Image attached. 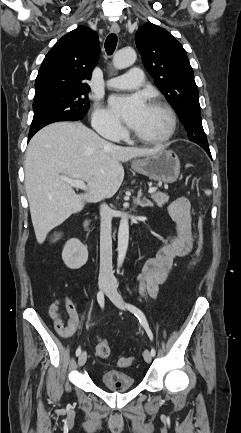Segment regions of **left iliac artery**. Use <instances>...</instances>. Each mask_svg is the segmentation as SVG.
<instances>
[{
	"instance_id": "obj_1",
	"label": "left iliac artery",
	"mask_w": 241,
	"mask_h": 433,
	"mask_svg": "<svg viewBox=\"0 0 241 433\" xmlns=\"http://www.w3.org/2000/svg\"><path fill=\"white\" fill-rule=\"evenodd\" d=\"M126 306L139 319V322L144 327L150 340L153 341V333H152V331L148 325V322H147V319H146L144 313L139 308H137L136 306H134L132 304H126ZM155 354H156V351L154 348H152L151 349V355L155 356Z\"/></svg>"
}]
</instances>
